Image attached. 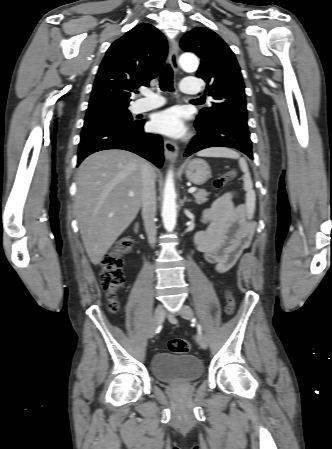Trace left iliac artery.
<instances>
[{
	"label": "left iliac artery",
	"mask_w": 332,
	"mask_h": 449,
	"mask_svg": "<svg viewBox=\"0 0 332 449\" xmlns=\"http://www.w3.org/2000/svg\"><path fill=\"white\" fill-rule=\"evenodd\" d=\"M198 331H199V333L201 332V327H200V325H198Z\"/></svg>",
	"instance_id": "1"
}]
</instances>
